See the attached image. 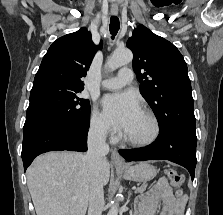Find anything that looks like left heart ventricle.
<instances>
[{"label": "left heart ventricle", "mask_w": 223, "mask_h": 215, "mask_svg": "<svg viewBox=\"0 0 223 215\" xmlns=\"http://www.w3.org/2000/svg\"><path fill=\"white\" fill-rule=\"evenodd\" d=\"M122 133L128 138L145 139L151 133V124L148 118L139 111Z\"/></svg>", "instance_id": "b2bd125f"}]
</instances>
